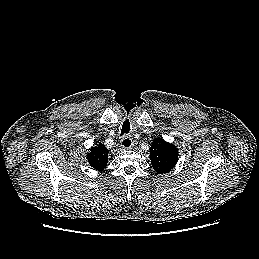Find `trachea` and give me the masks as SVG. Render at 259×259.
<instances>
[{
  "mask_svg": "<svg viewBox=\"0 0 259 259\" xmlns=\"http://www.w3.org/2000/svg\"><path fill=\"white\" fill-rule=\"evenodd\" d=\"M130 131V123L128 120H126L123 125H122V129H121V135L127 134Z\"/></svg>",
  "mask_w": 259,
  "mask_h": 259,
  "instance_id": "trachea-1",
  "label": "trachea"
}]
</instances>
